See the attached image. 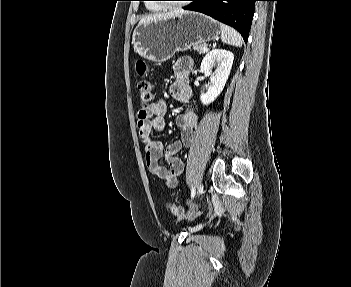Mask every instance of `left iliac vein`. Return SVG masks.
<instances>
[{"mask_svg": "<svg viewBox=\"0 0 351 287\" xmlns=\"http://www.w3.org/2000/svg\"><path fill=\"white\" fill-rule=\"evenodd\" d=\"M203 193V185L201 184L198 188V195Z\"/></svg>", "mask_w": 351, "mask_h": 287, "instance_id": "left-iliac-vein-1", "label": "left iliac vein"}]
</instances>
